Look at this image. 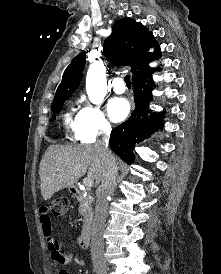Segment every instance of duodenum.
Instances as JSON below:
<instances>
[{
	"instance_id": "1",
	"label": "duodenum",
	"mask_w": 221,
	"mask_h": 274,
	"mask_svg": "<svg viewBox=\"0 0 221 274\" xmlns=\"http://www.w3.org/2000/svg\"><path fill=\"white\" fill-rule=\"evenodd\" d=\"M72 193L79 201L84 200L83 193L78 188H73ZM92 224V213L87 212L84 216V228L78 237V244L80 247L85 248L89 244V232Z\"/></svg>"
}]
</instances>
